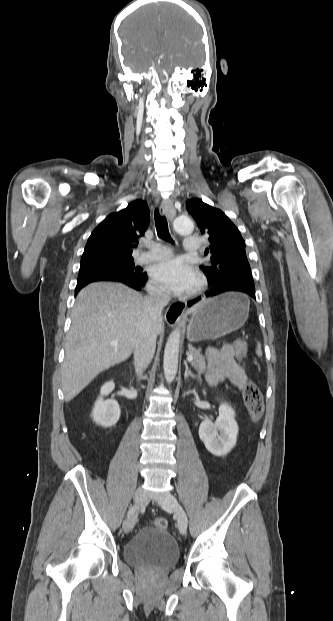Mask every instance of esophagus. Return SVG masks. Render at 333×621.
Instances as JSON below:
<instances>
[{"mask_svg":"<svg viewBox=\"0 0 333 621\" xmlns=\"http://www.w3.org/2000/svg\"><path fill=\"white\" fill-rule=\"evenodd\" d=\"M160 212L167 216L169 220H173L176 215V210L173 206L172 199H164L160 205ZM186 305L183 302H176L170 305L165 312V319L171 326L182 322L183 313Z\"/></svg>","mask_w":333,"mask_h":621,"instance_id":"1","label":"esophagus"}]
</instances>
